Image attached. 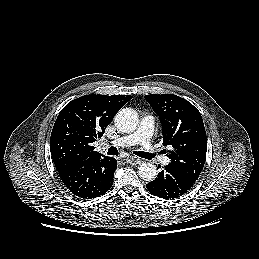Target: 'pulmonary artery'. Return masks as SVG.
Here are the masks:
<instances>
[{"mask_svg":"<svg viewBox=\"0 0 259 259\" xmlns=\"http://www.w3.org/2000/svg\"><path fill=\"white\" fill-rule=\"evenodd\" d=\"M154 127V117L147 115L142 118L140 126L135 133L119 137L112 141V144L117 147H129L136 143L142 144L146 153L157 155V148L151 142V134ZM161 161L164 165L169 164L170 159L162 157Z\"/></svg>","mask_w":259,"mask_h":259,"instance_id":"pulmonary-artery-1","label":"pulmonary artery"}]
</instances>
